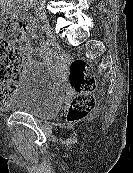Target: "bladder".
Listing matches in <instances>:
<instances>
[{
  "label": "bladder",
  "instance_id": "1",
  "mask_svg": "<svg viewBox=\"0 0 133 173\" xmlns=\"http://www.w3.org/2000/svg\"><path fill=\"white\" fill-rule=\"evenodd\" d=\"M65 92L57 71L46 64H34L22 72L5 108L48 119L59 111Z\"/></svg>",
  "mask_w": 133,
  "mask_h": 173
}]
</instances>
